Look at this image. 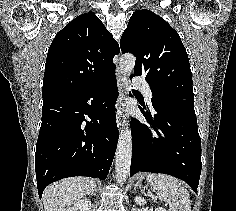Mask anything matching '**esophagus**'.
I'll return each mask as SVG.
<instances>
[{
	"mask_svg": "<svg viewBox=\"0 0 236 211\" xmlns=\"http://www.w3.org/2000/svg\"><path fill=\"white\" fill-rule=\"evenodd\" d=\"M116 76H117V84L119 89V95L117 98V102L115 105V111H116V122L118 125V128H121V122H122V103L124 99V77L121 73L120 67L117 65L116 67Z\"/></svg>",
	"mask_w": 236,
	"mask_h": 211,
	"instance_id": "obj_1",
	"label": "esophagus"
}]
</instances>
